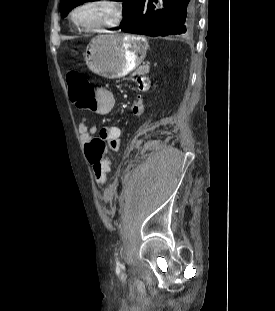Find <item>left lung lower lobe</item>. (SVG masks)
Listing matches in <instances>:
<instances>
[{
    "label": "left lung lower lobe",
    "mask_w": 275,
    "mask_h": 311,
    "mask_svg": "<svg viewBox=\"0 0 275 311\" xmlns=\"http://www.w3.org/2000/svg\"><path fill=\"white\" fill-rule=\"evenodd\" d=\"M195 27V0H144L122 31L148 36L189 35Z\"/></svg>",
    "instance_id": "obj_1"
}]
</instances>
